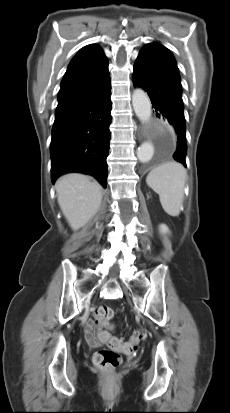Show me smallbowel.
<instances>
[{"label": "small bowel", "mask_w": 230, "mask_h": 413, "mask_svg": "<svg viewBox=\"0 0 230 413\" xmlns=\"http://www.w3.org/2000/svg\"><path fill=\"white\" fill-rule=\"evenodd\" d=\"M110 326L103 329L102 326L97 325L92 319H88L85 325V336L92 345L108 344L111 333Z\"/></svg>", "instance_id": "small-bowel-1"}]
</instances>
